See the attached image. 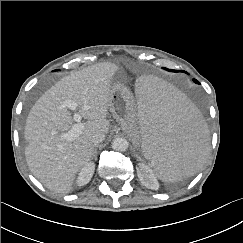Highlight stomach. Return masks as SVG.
I'll list each match as a JSON object with an SVG mask.
<instances>
[{
	"mask_svg": "<svg viewBox=\"0 0 243 243\" xmlns=\"http://www.w3.org/2000/svg\"><path fill=\"white\" fill-rule=\"evenodd\" d=\"M109 109L122 129L129 134L135 143L138 130L136 101L131 91L125 85L119 82L111 85Z\"/></svg>",
	"mask_w": 243,
	"mask_h": 243,
	"instance_id": "1",
	"label": "stomach"
}]
</instances>
